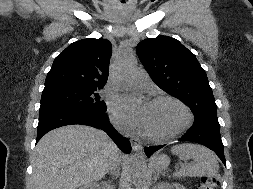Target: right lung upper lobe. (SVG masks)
<instances>
[{
	"label": "right lung upper lobe",
	"mask_w": 253,
	"mask_h": 189,
	"mask_svg": "<svg viewBox=\"0 0 253 189\" xmlns=\"http://www.w3.org/2000/svg\"><path fill=\"white\" fill-rule=\"evenodd\" d=\"M111 53V43L107 39L89 38L72 43L55 58L44 89L103 87L109 74Z\"/></svg>",
	"instance_id": "cb5924a9"
}]
</instances>
